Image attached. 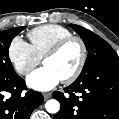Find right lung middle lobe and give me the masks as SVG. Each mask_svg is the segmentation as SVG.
Returning <instances> with one entry per match:
<instances>
[{
    "mask_svg": "<svg viewBox=\"0 0 119 119\" xmlns=\"http://www.w3.org/2000/svg\"><path fill=\"white\" fill-rule=\"evenodd\" d=\"M25 28L26 26L0 31V76L9 77L16 74L8 50L12 39Z\"/></svg>",
    "mask_w": 119,
    "mask_h": 119,
    "instance_id": "dd1d6c3e",
    "label": "right lung middle lobe"
}]
</instances>
